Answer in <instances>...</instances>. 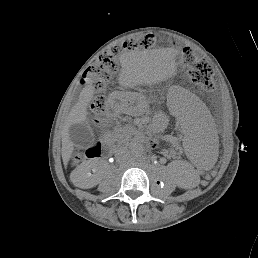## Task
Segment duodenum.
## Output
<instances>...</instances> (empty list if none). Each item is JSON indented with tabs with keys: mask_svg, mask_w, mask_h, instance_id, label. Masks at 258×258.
<instances>
[{
	"mask_svg": "<svg viewBox=\"0 0 258 258\" xmlns=\"http://www.w3.org/2000/svg\"><path fill=\"white\" fill-rule=\"evenodd\" d=\"M86 155L92 158L99 157L100 155V149L99 148H90L86 152Z\"/></svg>",
	"mask_w": 258,
	"mask_h": 258,
	"instance_id": "duodenum-1",
	"label": "duodenum"
}]
</instances>
